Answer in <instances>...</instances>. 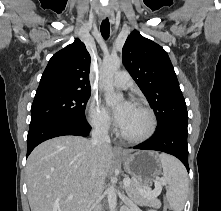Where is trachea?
I'll use <instances>...</instances> for the list:
<instances>
[{
	"label": "trachea",
	"instance_id": "1",
	"mask_svg": "<svg viewBox=\"0 0 221 211\" xmlns=\"http://www.w3.org/2000/svg\"><path fill=\"white\" fill-rule=\"evenodd\" d=\"M100 30H101L102 37L105 40H107L109 38V34H110V24H109L108 18H106L102 21Z\"/></svg>",
	"mask_w": 221,
	"mask_h": 211
}]
</instances>
